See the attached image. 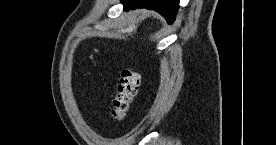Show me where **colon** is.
I'll return each mask as SVG.
<instances>
[{
  "label": "colon",
  "instance_id": "obj_1",
  "mask_svg": "<svg viewBox=\"0 0 276 145\" xmlns=\"http://www.w3.org/2000/svg\"><path fill=\"white\" fill-rule=\"evenodd\" d=\"M139 80L140 76L135 71L130 69H123L121 71L111 107L112 121L121 122L126 118L130 104L137 93Z\"/></svg>",
  "mask_w": 276,
  "mask_h": 145
}]
</instances>
